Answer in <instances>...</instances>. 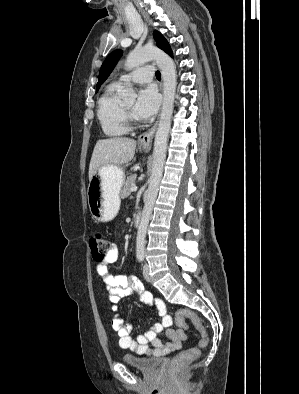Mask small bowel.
Segmentation results:
<instances>
[{
    "mask_svg": "<svg viewBox=\"0 0 299 394\" xmlns=\"http://www.w3.org/2000/svg\"><path fill=\"white\" fill-rule=\"evenodd\" d=\"M118 254V246L112 244L107 256L96 266V271L107 288L108 300L112 309L117 310V303L120 299L137 293L144 303L154 306L161 317L160 323L151 325L143 335L134 339L131 336L133 324H126L123 316L116 314L112 321V327L119 336L120 347L139 355L155 357L180 349L182 342L188 338L185 332L186 325L183 326L176 322L177 328H172L173 320L168 315L163 300L151 292L145 291L136 277L114 275L109 271L108 265L117 261ZM162 330H165L168 342H163L157 337V334Z\"/></svg>",
    "mask_w": 299,
    "mask_h": 394,
    "instance_id": "obj_1",
    "label": "small bowel"
}]
</instances>
